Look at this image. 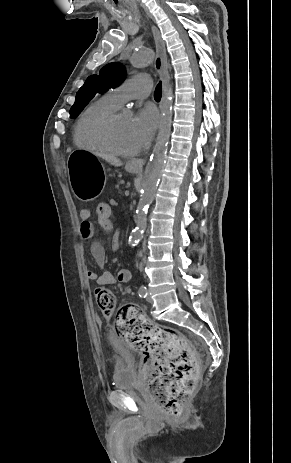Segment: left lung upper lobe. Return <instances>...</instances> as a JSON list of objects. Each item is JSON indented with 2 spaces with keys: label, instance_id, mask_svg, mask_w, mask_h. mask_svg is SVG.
Returning <instances> with one entry per match:
<instances>
[{
  "label": "left lung upper lobe",
  "instance_id": "1",
  "mask_svg": "<svg viewBox=\"0 0 291 463\" xmlns=\"http://www.w3.org/2000/svg\"><path fill=\"white\" fill-rule=\"evenodd\" d=\"M124 74V66L114 62L101 68L99 75L89 76L76 94L75 103L70 109V117H76L96 94L120 85L124 81Z\"/></svg>",
  "mask_w": 291,
  "mask_h": 463
}]
</instances>
